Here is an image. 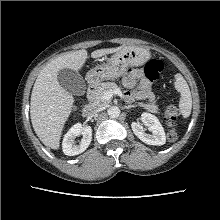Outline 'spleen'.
I'll return each mask as SVG.
<instances>
[{"instance_id":"spleen-1","label":"spleen","mask_w":220,"mask_h":220,"mask_svg":"<svg viewBox=\"0 0 220 220\" xmlns=\"http://www.w3.org/2000/svg\"><path fill=\"white\" fill-rule=\"evenodd\" d=\"M175 89L181 94L179 109L184 118H188L192 110V97L189 86L181 74L175 76Z\"/></svg>"}]
</instances>
